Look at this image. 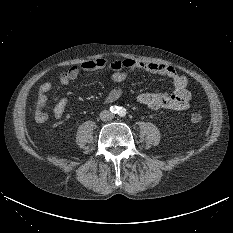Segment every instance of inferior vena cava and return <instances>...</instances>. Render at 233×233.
I'll use <instances>...</instances> for the list:
<instances>
[{"label": "inferior vena cava", "mask_w": 233, "mask_h": 233, "mask_svg": "<svg viewBox=\"0 0 233 233\" xmlns=\"http://www.w3.org/2000/svg\"><path fill=\"white\" fill-rule=\"evenodd\" d=\"M100 118L103 121H108L114 118V114L107 110H104L100 113Z\"/></svg>", "instance_id": "602c4592"}]
</instances>
